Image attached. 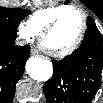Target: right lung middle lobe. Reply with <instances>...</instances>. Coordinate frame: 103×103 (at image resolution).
<instances>
[{
	"mask_svg": "<svg viewBox=\"0 0 103 103\" xmlns=\"http://www.w3.org/2000/svg\"><path fill=\"white\" fill-rule=\"evenodd\" d=\"M29 13L25 9L0 7V34L16 38L17 27Z\"/></svg>",
	"mask_w": 103,
	"mask_h": 103,
	"instance_id": "obj_1",
	"label": "right lung middle lobe"
}]
</instances>
